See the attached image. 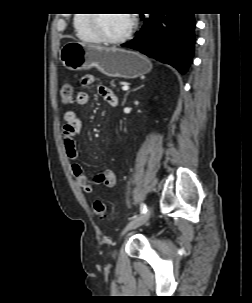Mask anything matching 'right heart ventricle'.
<instances>
[{
	"instance_id": "right-heart-ventricle-1",
	"label": "right heart ventricle",
	"mask_w": 252,
	"mask_h": 303,
	"mask_svg": "<svg viewBox=\"0 0 252 303\" xmlns=\"http://www.w3.org/2000/svg\"><path fill=\"white\" fill-rule=\"evenodd\" d=\"M74 25L80 36L86 39H98L92 27L91 16L89 14H78L74 19Z\"/></svg>"
}]
</instances>
